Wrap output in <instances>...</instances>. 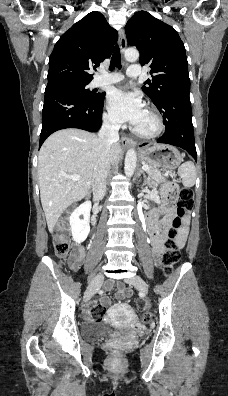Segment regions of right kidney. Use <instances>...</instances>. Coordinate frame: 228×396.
Segmentation results:
<instances>
[{
    "label": "right kidney",
    "instance_id": "1",
    "mask_svg": "<svg viewBox=\"0 0 228 396\" xmlns=\"http://www.w3.org/2000/svg\"><path fill=\"white\" fill-rule=\"evenodd\" d=\"M90 211L91 202L87 201L77 207L70 215L72 238L76 243L84 242L90 232ZM81 216L82 218H80Z\"/></svg>",
    "mask_w": 228,
    "mask_h": 396
}]
</instances>
